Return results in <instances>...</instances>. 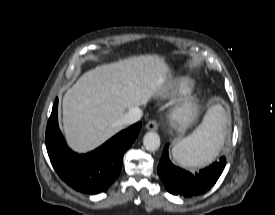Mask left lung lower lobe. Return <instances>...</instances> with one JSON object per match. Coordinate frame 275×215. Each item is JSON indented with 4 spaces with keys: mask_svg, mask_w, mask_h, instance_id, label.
Instances as JSON below:
<instances>
[{
    "mask_svg": "<svg viewBox=\"0 0 275 215\" xmlns=\"http://www.w3.org/2000/svg\"><path fill=\"white\" fill-rule=\"evenodd\" d=\"M225 164V157H221L210 166L190 173L171 163L168 158V145H166L157 172L169 193L190 198L208 191L220 177Z\"/></svg>",
    "mask_w": 275,
    "mask_h": 215,
    "instance_id": "left-lung-lower-lobe-1",
    "label": "left lung lower lobe"
}]
</instances>
